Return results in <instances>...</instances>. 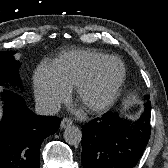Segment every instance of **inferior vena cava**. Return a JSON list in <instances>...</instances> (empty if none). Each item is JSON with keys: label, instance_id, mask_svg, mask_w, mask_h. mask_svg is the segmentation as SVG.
Listing matches in <instances>:
<instances>
[{"label": "inferior vena cava", "instance_id": "1", "mask_svg": "<svg viewBox=\"0 0 168 168\" xmlns=\"http://www.w3.org/2000/svg\"><path fill=\"white\" fill-rule=\"evenodd\" d=\"M60 106L48 101H40L35 105V111L38 115L51 116L58 113Z\"/></svg>", "mask_w": 168, "mask_h": 168}]
</instances>
